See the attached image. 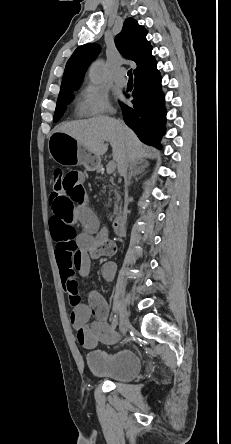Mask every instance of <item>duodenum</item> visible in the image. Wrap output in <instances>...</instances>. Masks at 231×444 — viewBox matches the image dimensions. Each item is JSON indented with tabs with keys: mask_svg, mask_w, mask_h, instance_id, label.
Returning a JSON list of instances; mask_svg holds the SVG:
<instances>
[{
	"mask_svg": "<svg viewBox=\"0 0 231 444\" xmlns=\"http://www.w3.org/2000/svg\"><path fill=\"white\" fill-rule=\"evenodd\" d=\"M124 217L120 216L113 220L112 222V230L117 236H125L126 229L124 224Z\"/></svg>",
	"mask_w": 231,
	"mask_h": 444,
	"instance_id": "410a0bca",
	"label": "duodenum"
}]
</instances>
